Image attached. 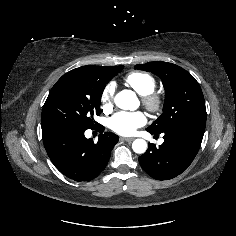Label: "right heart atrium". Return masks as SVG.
<instances>
[{
	"mask_svg": "<svg viewBox=\"0 0 236 236\" xmlns=\"http://www.w3.org/2000/svg\"><path fill=\"white\" fill-rule=\"evenodd\" d=\"M115 93V85L113 83H109L103 89L100 95V103L102 110L104 112H110L113 108V100Z\"/></svg>",
	"mask_w": 236,
	"mask_h": 236,
	"instance_id": "1",
	"label": "right heart atrium"
}]
</instances>
